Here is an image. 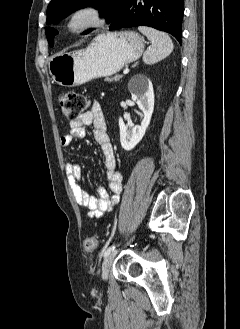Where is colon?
Segmentation results:
<instances>
[{
    "instance_id": "colon-1",
    "label": "colon",
    "mask_w": 240,
    "mask_h": 329,
    "mask_svg": "<svg viewBox=\"0 0 240 329\" xmlns=\"http://www.w3.org/2000/svg\"><path fill=\"white\" fill-rule=\"evenodd\" d=\"M58 103L63 116L66 119L74 120L88 107L89 100L85 95L73 91H64L59 94ZM84 246L88 252H94L98 247L97 237L95 235L87 236L84 240Z\"/></svg>"
}]
</instances>
